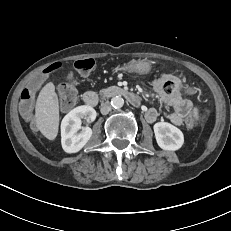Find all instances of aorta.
<instances>
[{
  "label": "aorta",
  "mask_w": 231,
  "mask_h": 231,
  "mask_svg": "<svg viewBox=\"0 0 231 231\" xmlns=\"http://www.w3.org/2000/svg\"><path fill=\"white\" fill-rule=\"evenodd\" d=\"M111 105L114 108L119 109V108L123 107L124 99L121 96H115L111 99Z\"/></svg>",
  "instance_id": "aorta-1"
}]
</instances>
